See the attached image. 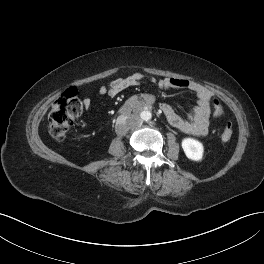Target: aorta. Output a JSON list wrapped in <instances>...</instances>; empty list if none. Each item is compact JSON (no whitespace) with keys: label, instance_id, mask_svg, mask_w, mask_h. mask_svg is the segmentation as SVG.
Returning <instances> with one entry per match:
<instances>
[{"label":"aorta","instance_id":"obj_1","mask_svg":"<svg viewBox=\"0 0 264 264\" xmlns=\"http://www.w3.org/2000/svg\"><path fill=\"white\" fill-rule=\"evenodd\" d=\"M137 118L142 121H148L152 118V113L149 110H143L137 115Z\"/></svg>","mask_w":264,"mask_h":264}]
</instances>
